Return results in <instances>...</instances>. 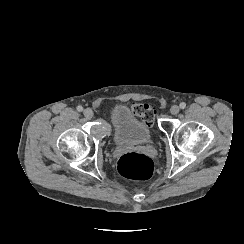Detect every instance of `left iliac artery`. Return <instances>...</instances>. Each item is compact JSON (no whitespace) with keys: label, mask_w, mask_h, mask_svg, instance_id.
I'll use <instances>...</instances> for the list:
<instances>
[{"label":"left iliac artery","mask_w":244,"mask_h":244,"mask_svg":"<svg viewBox=\"0 0 244 244\" xmlns=\"http://www.w3.org/2000/svg\"><path fill=\"white\" fill-rule=\"evenodd\" d=\"M179 106H180L181 109H184L186 107V103L185 102H181Z\"/></svg>","instance_id":"44dca946"}]
</instances>
